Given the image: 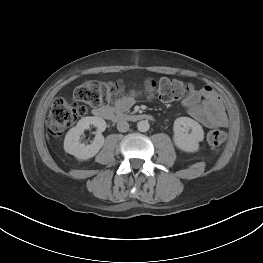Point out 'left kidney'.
<instances>
[{
  "instance_id": "1",
  "label": "left kidney",
  "mask_w": 263,
  "mask_h": 263,
  "mask_svg": "<svg viewBox=\"0 0 263 263\" xmlns=\"http://www.w3.org/2000/svg\"><path fill=\"white\" fill-rule=\"evenodd\" d=\"M173 131L174 142L179 149L186 152L198 151L199 142L204 139V131L197 121L189 117H179L174 121Z\"/></svg>"
}]
</instances>
